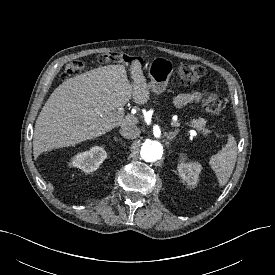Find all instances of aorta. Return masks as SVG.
Returning <instances> with one entry per match:
<instances>
[{
    "mask_svg": "<svg viewBox=\"0 0 275 275\" xmlns=\"http://www.w3.org/2000/svg\"><path fill=\"white\" fill-rule=\"evenodd\" d=\"M141 158L146 162H154L162 158L163 145L156 140L143 143L140 151Z\"/></svg>",
    "mask_w": 275,
    "mask_h": 275,
    "instance_id": "aorta-1",
    "label": "aorta"
}]
</instances>
